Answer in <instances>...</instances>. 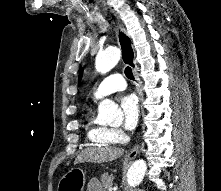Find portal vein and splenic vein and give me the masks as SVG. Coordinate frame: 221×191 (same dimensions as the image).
I'll use <instances>...</instances> for the list:
<instances>
[{"label":"portal vein and splenic vein","mask_w":221,"mask_h":191,"mask_svg":"<svg viewBox=\"0 0 221 191\" xmlns=\"http://www.w3.org/2000/svg\"><path fill=\"white\" fill-rule=\"evenodd\" d=\"M112 189H116V187H113V188L111 187V188L109 189V191H112Z\"/></svg>","instance_id":"obj_1"}]
</instances>
